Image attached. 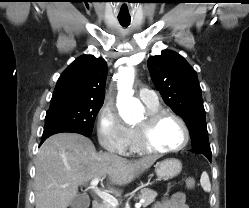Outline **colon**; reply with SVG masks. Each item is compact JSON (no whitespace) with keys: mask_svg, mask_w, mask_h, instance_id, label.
Listing matches in <instances>:
<instances>
[{"mask_svg":"<svg viewBox=\"0 0 249 208\" xmlns=\"http://www.w3.org/2000/svg\"><path fill=\"white\" fill-rule=\"evenodd\" d=\"M185 184L188 189H194L196 186V181L194 178H187Z\"/></svg>","mask_w":249,"mask_h":208,"instance_id":"obj_1","label":"colon"}]
</instances>
